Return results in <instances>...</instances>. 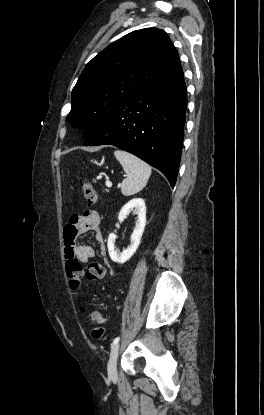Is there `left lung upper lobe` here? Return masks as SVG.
<instances>
[{
	"label": "left lung upper lobe",
	"instance_id": "5c2ea615",
	"mask_svg": "<svg viewBox=\"0 0 264 415\" xmlns=\"http://www.w3.org/2000/svg\"><path fill=\"white\" fill-rule=\"evenodd\" d=\"M179 65L178 53L165 31H133L86 65L72 90L66 121L84 128L86 141L128 98Z\"/></svg>",
	"mask_w": 264,
	"mask_h": 415
}]
</instances>
